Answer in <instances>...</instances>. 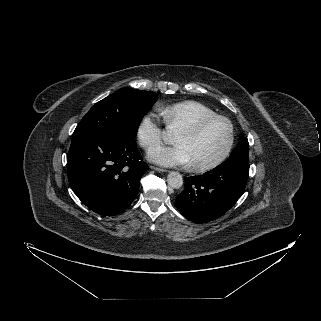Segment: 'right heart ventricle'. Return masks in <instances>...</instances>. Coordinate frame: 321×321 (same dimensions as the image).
<instances>
[{
    "label": "right heart ventricle",
    "instance_id": "right-heart-ventricle-1",
    "mask_svg": "<svg viewBox=\"0 0 321 321\" xmlns=\"http://www.w3.org/2000/svg\"><path fill=\"white\" fill-rule=\"evenodd\" d=\"M161 114L167 127L181 129L216 112L199 101L186 100L162 108Z\"/></svg>",
    "mask_w": 321,
    "mask_h": 321
}]
</instances>
